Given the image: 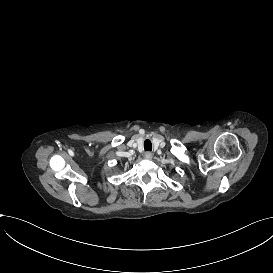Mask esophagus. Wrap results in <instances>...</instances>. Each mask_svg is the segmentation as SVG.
I'll use <instances>...</instances> for the list:
<instances>
[{
    "label": "esophagus",
    "mask_w": 273,
    "mask_h": 273,
    "mask_svg": "<svg viewBox=\"0 0 273 273\" xmlns=\"http://www.w3.org/2000/svg\"><path fill=\"white\" fill-rule=\"evenodd\" d=\"M152 153H150V152H146L145 154H144V158L145 159H148V160H150V159H152Z\"/></svg>",
    "instance_id": "obj_1"
}]
</instances>
